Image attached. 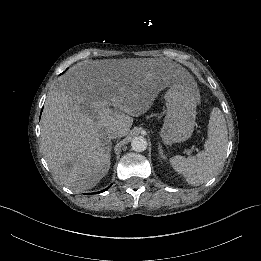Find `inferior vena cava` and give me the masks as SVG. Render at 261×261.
Masks as SVG:
<instances>
[{
  "instance_id": "obj_1",
  "label": "inferior vena cava",
  "mask_w": 261,
  "mask_h": 261,
  "mask_svg": "<svg viewBox=\"0 0 261 261\" xmlns=\"http://www.w3.org/2000/svg\"><path fill=\"white\" fill-rule=\"evenodd\" d=\"M108 137L110 139H115V138H118V137H122V131L119 130V129H112L108 132Z\"/></svg>"
}]
</instances>
